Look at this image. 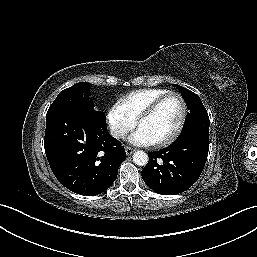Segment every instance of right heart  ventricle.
Segmentation results:
<instances>
[{"label": "right heart ventricle", "mask_w": 257, "mask_h": 257, "mask_svg": "<svg viewBox=\"0 0 257 257\" xmlns=\"http://www.w3.org/2000/svg\"><path fill=\"white\" fill-rule=\"evenodd\" d=\"M169 92L170 90L164 88L139 89L123 96L120 102L126 108L130 116L136 120L156 99Z\"/></svg>", "instance_id": "1"}]
</instances>
